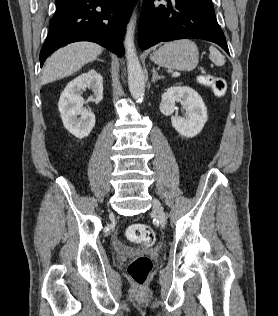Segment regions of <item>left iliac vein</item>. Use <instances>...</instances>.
Returning a JSON list of instances; mask_svg holds the SVG:
<instances>
[{
	"label": "left iliac vein",
	"mask_w": 278,
	"mask_h": 316,
	"mask_svg": "<svg viewBox=\"0 0 278 316\" xmlns=\"http://www.w3.org/2000/svg\"><path fill=\"white\" fill-rule=\"evenodd\" d=\"M152 212L161 225L166 224V215L159 200L153 199Z\"/></svg>",
	"instance_id": "1"
}]
</instances>
